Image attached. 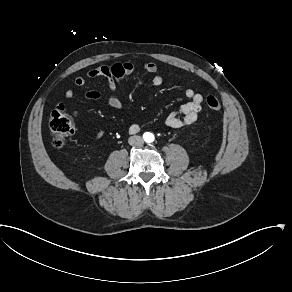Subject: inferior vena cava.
<instances>
[{
	"label": "inferior vena cava",
	"instance_id": "602c4592",
	"mask_svg": "<svg viewBox=\"0 0 292 292\" xmlns=\"http://www.w3.org/2000/svg\"><path fill=\"white\" fill-rule=\"evenodd\" d=\"M128 143L132 146H135V145H142L144 143V140L142 137L140 136H131L129 139H128Z\"/></svg>",
	"mask_w": 292,
	"mask_h": 292
}]
</instances>
